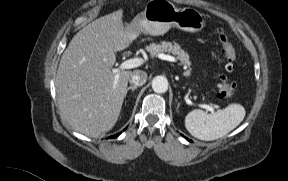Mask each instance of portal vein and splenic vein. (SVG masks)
Here are the masks:
<instances>
[{
    "label": "portal vein and splenic vein",
    "instance_id": "1",
    "mask_svg": "<svg viewBox=\"0 0 288 181\" xmlns=\"http://www.w3.org/2000/svg\"><path fill=\"white\" fill-rule=\"evenodd\" d=\"M158 57L162 60H167V61H174V58L170 55H166V54H159ZM144 63V60L142 58H133V59H128L124 62H122L119 66L118 69H116V76H115V80H114V86H116L117 82H118V79H119V72L121 70H125V69H132V68H136V67H139L141 66L142 64ZM186 103L189 104V105H193V106H199L201 108H204L206 109L207 111H210V112H214V108L210 105H207V104H196L194 102H192L190 99H186Z\"/></svg>",
    "mask_w": 288,
    "mask_h": 181
}]
</instances>
